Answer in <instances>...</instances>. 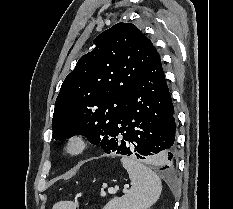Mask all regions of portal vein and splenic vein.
I'll return each instance as SVG.
<instances>
[{
  "label": "portal vein and splenic vein",
  "instance_id": "portal-vein-and-splenic-vein-1",
  "mask_svg": "<svg viewBox=\"0 0 233 209\" xmlns=\"http://www.w3.org/2000/svg\"><path fill=\"white\" fill-rule=\"evenodd\" d=\"M108 192H109L110 194H115V193L117 192V189L108 188ZM123 192L126 193V192H127V188H124ZM101 195H102V196H105V192H102Z\"/></svg>",
  "mask_w": 233,
  "mask_h": 209
}]
</instances>
